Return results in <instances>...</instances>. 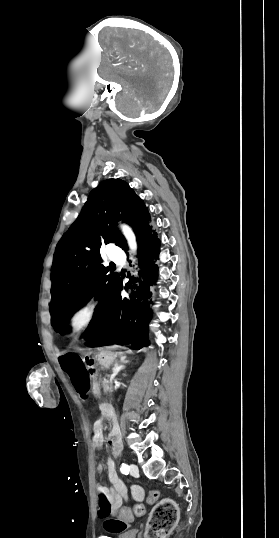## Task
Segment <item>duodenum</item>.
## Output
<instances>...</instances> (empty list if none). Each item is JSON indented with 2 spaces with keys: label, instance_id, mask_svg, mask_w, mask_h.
Segmentation results:
<instances>
[{
  "label": "duodenum",
  "instance_id": "duodenum-1",
  "mask_svg": "<svg viewBox=\"0 0 279 538\" xmlns=\"http://www.w3.org/2000/svg\"><path fill=\"white\" fill-rule=\"evenodd\" d=\"M89 376L92 378V385L94 387H97L99 385V378L97 377V373L95 371H91L89 373ZM99 409L101 410V413L105 415H110L112 413V410L109 408V405H105L104 402H101Z\"/></svg>",
  "mask_w": 279,
  "mask_h": 538
}]
</instances>
